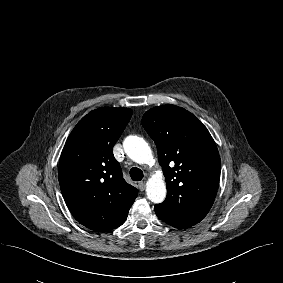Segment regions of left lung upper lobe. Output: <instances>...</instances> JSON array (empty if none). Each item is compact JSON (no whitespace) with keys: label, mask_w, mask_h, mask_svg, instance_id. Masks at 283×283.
<instances>
[{"label":"left lung upper lobe","mask_w":283,"mask_h":283,"mask_svg":"<svg viewBox=\"0 0 283 283\" xmlns=\"http://www.w3.org/2000/svg\"><path fill=\"white\" fill-rule=\"evenodd\" d=\"M141 123L157 146L166 178L167 196L155 205L156 214L173 224H197L212 207L220 180L212 136L192 113L175 105L150 109Z\"/></svg>","instance_id":"1"}]
</instances>
